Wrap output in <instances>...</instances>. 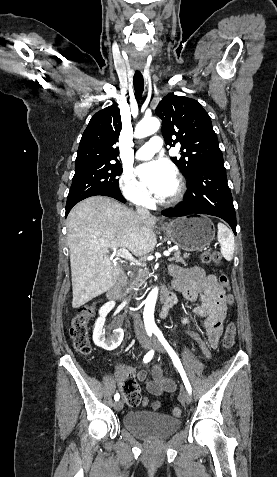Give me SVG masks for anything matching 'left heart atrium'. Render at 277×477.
<instances>
[{
  "instance_id": "39dd6f15",
  "label": "left heart atrium",
  "mask_w": 277,
  "mask_h": 477,
  "mask_svg": "<svg viewBox=\"0 0 277 477\" xmlns=\"http://www.w3.org/2000/svg\"><path fill=\"white\" fill-rule=\"evenodd\" d=\"M137 174L144 185L159 198L168 197L176 184L174 167L162 159L139 166Z\"/></svg>"
}]
</instances>
